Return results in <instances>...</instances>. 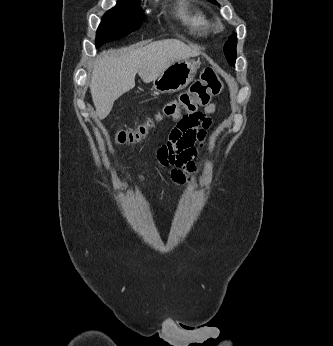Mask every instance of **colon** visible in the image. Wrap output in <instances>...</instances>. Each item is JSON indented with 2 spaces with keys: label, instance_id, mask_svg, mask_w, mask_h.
Segmentation results:
<instances>
[{
  "label": "colon",
  "instance_id": "colon-1",
  "mask_svg": "<svg viewBox=\"0 0 333 346\" xmlns=\"http://www.w3.org/2000/svg\"><path fill=\"white\" fill-rule=\"evenodd\" d=\"M221 82L212 67H207L199 80L195 81L189 91L181 93L177 99L167 103L153 119L135 129L120 131L117 141L126 145H139L145 142L154 124L163 118L183 119L189 116H200L198 107L208 104L211 97L220 93Z\"/></svg>",
  "mask_w": 333,
  "mask_h": 346
}]
</instances>
